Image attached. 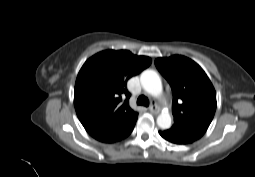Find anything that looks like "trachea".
<instances>
[{
    "label": "trachea",
    "mask_w": 255,
    "mask_h": 177,
    "mask_svg": "<svg viewBox=\"0 0 255 177\" xmlns=\"http://www.w3.org/2000/svg\"><path fill=\"white\" fill-rule=\"evenodd\" d=\"M137 104L138 105H143V106H149V100L144 95H141L137 99Z\"/></svg>",
    "instance_id": "trachea-1"
}]
</instances>
